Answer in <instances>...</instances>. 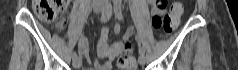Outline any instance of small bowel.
Segmentation results:
<instances>
[{
    "label": "small bowel",
    "mask_w": 238,
    "mask_h": 70,
    "mask_svg": "<svg viewBox=\"0 0 238 70\" xmlns=\"http://www.w3.org/2000/svg\"><path fill=\"white\" fill-rule=\"evenodd\" d=\"M150 4L152 5L151 13L153 16L163 14L165 12V7H156L154 0L150 1ZM65 25L66 21L64 19H61L57 23V28L59 30H62ZM119 31L120 27L116 25L114 27V33L118 34ZM125 33H133V29L128 28ZM109 35L110 29L107 26L102 27L97 44V59L94 60L93 68H89L87 70H111V61L118 57V54H121L124 50H129L127 44H125V47L123 46L124 44L122 43V41L113 42L112 44H109ZM78 49L80 54L84 58H89V43L86 38L83 37L80 39ZM99 60L104 61L100 62Z\"/></svg>",
    "instance_id": "small-bowel-1"
}]
</instances>
